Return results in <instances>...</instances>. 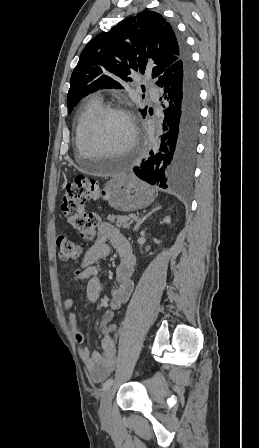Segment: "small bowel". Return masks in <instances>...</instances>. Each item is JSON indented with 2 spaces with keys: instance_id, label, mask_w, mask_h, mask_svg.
Returning a JSON list of instances; mask_svg holds the SVG:
<instances>
[{
  "instance_id": "1",
  "label": "small bowel",
  "mask_w": 259,
  "mask_h": 448,
  "mask_svg": "<svg viewBox=\"0 0 259 448\" xmlns=\"http://www.w3.org/2000/svg\"><path fill=\"white\" fill-rule=\"evenodd\" d=\"M111 247L116 249L119 263L115 271L116 288L112 293L109 309L103 314L99 323V331L103 334L102 354L91 352L86 347L79 349V355L94 382L103 381L114 369L116 362V347L111 334L116 325L112 323L114 312L127 302L134 290L133 274L136 258L131 245L117 227L110 223H102L98 227L96 240L89 245L81 262L80 271L71 278L67 285L70 286L76 280H88L86 295L91 303H97L101 292L99 271L95 263L110 253ZM72 298L64 301V307L68 312L69 325L75 341L83 344L84 335L77 327L76 314L71 310Z\"/></svg>"
}]
</instances>
